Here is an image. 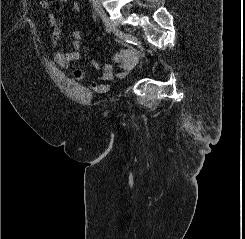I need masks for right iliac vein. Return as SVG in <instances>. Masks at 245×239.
<instances>
[{"mask_svg":"<svg viewBox=\"0 0 245 239\" xmlns=\"http://www.w3.org/2000/svg\"><path fill=\"white\" fill-rule=\"evenodd\" d=\"M94 9L96 13L100 16L104 24L119 38H125V34L109 19L106 12L99 5H95Z\"/></svg>","mask_w":245,"mask_h":239,"instance_id":"1","label":"right iliac vein"}]
</instances>
